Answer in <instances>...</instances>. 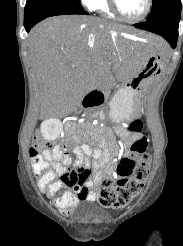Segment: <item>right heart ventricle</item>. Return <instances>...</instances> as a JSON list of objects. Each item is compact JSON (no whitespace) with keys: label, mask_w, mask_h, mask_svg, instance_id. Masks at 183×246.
Returning <instances> with one entry per match:
<instances>
[{"label":"right heart ventricle","mask_w":183,"mask_h":246,"mask_svg":"<svg viewBox=\"0 0 183 246\" xmlns=\"http://www.w3.org/2000/svg\"><path fill=\"white\" fill-rule=\"evenodd\" d=\"M90 9L109 18H116V15L110 9L108 0H93Z\"/></svg>","instance_id":"obj_1"}]
</instances>
